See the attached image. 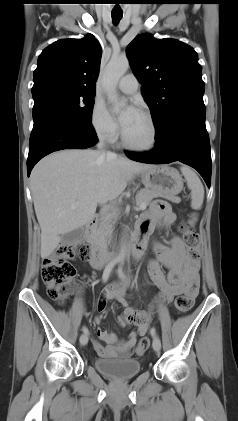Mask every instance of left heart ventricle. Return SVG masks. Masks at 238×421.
Returning <instances> with one entry per match:
<instances>
[{"label":"left heart ventricle","mask_w":238,"mask_h":421,"mask_svg":"<svg viewBox=\"0 0 238 421\" xmlns=\"http://www.w3.org/2000/svg\"><path fill=\"white\" fill-rule=\"evenodd\" d=\"M123 130L129 142L134 145L143 146L150 142L149 122L138 112L123 126Z\"/></svg>","instance_id":"b2bd125f"}]
</instances>
